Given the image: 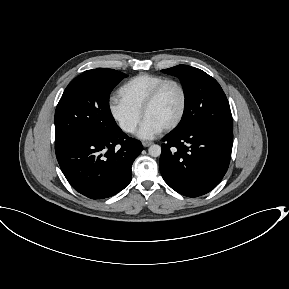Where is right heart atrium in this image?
<instances>
[{
	"label": "right heart atrium",
	"mask_w": 289,
	"mask_h": 289,
	"mask_svg": "<svg viewBox=\"0 0 289 289\" xmlns=\"http://www.w3.org/2000/svg\"><path fill=\"white\" fill-rule=\"evenodd\" d=\"M108 108L111 117L123 132L127 134L135 132L141 121V112L115 98L109 101Z\"/></svg>",
	"instance_id": "d8ad5b80"
}]
</instances>
